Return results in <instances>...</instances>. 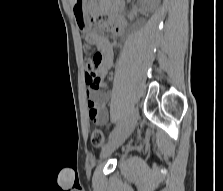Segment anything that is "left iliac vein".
<instances>
[{"label": "left iliac vein", "instance_id": "obj_1", "mask_svg": "<svg viewBox=\"0 0 223 191\" xmlns=\"http://www.w3.org/2000/svg\"><path fill=\"white\" fill-rule=\"evenodd\" d=\"M139 118V111L137 107H134L125 124L122 126L120 131L113 137L102 149L101 158H108L117 148H119L131 135L135 129Z\"/></svg>", "mask_w": 223, "mask_h": 191}]
</instances>
